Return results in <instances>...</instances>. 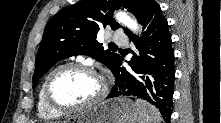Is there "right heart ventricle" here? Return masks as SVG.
<instances>
[{"instance_id": "1", "label": "right heart ventricle", "mask_w": 221, "mask_h": 123, "mask_svg": "<svg viewBox=\"0 0 221 123\" xmlns=\"http://www.w3.org/2000/svg\"><path fill=\"white\" fill-rule=\"evenodd\" d=\"M45 82V81H44ZM44 82L40 87L38 94V114L41 118L51 120L57 119L62 116L63 113L52 109L46 102L44 97Z\"/></svg>"}]
</instances>
